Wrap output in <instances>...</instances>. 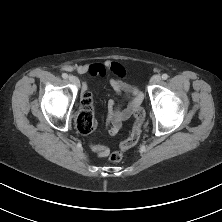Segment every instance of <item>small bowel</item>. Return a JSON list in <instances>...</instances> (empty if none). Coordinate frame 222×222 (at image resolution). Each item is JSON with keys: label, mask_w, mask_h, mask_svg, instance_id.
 Instances as JSON below:
<instances>
[{"label": "small bowel", "mask_w": 222, "mask_h": 222, "mask_svg": "<svg viewBox=\"0 0 222 222\" xmlns=\"http://www.w3.org/2000/svg\"><path fill=\"white\" fill-rule=\"evenodd\" d=\"M112 65L113 63L109 61L105 64L92 63L71 65L67 67V70L75 71L80 74H89L92 77L104 75L107 69H112L119 75L124 74L121 67L111 68ZM109 82L117 94L125 93L126 95V101L120 106H117L114 100L108 102L107 130L110 134L115 135L121 129L123 122L127 120L140 105L143 95L137 87L120 79L112 78ZM86 88L87 85H83V89L85 90ZM95 128L96 122L93 121L90 132ZM91 149L96 152L99 157H107L110 154L109 148L102 144L93 143L91 144Z\"/></svg>", "instance_id": "c3829d8e"}]
</instances>
